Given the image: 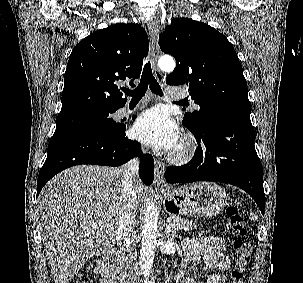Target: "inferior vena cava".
<instances>
[{
	"label": "inferior vena cava",
	"mask_w": 303,
	"mask_h": 283,
	"mask_svg": "<svg viewBox=\"0 0 303 283\" xmlns=\"http://www.w3.org/2000/svg\"><path fill=\"white\" fill-rule=\"evenodd\" d=\"M121 170V214L117 230V240L122 245L126 283H139L137 252L133 246V233L136 228V191L134 180L138 178L137 159H131L121 167Z\"/></svg>",
	"instance_id": "inferior-vena-cava-1"
}]
</instances>
